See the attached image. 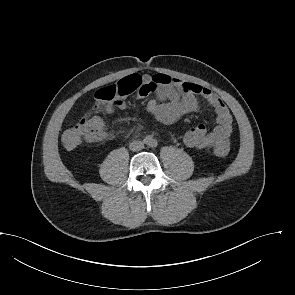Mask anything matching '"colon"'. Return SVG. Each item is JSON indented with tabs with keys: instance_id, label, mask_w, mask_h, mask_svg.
<instances>
[{
	"instance_id": "colon-1",
	"label": "colon",
	"mask_w": 295,
	"mask_h": 295,
	"mask_svg": "<svg viewBox=\"0 0 295 295\" xmlns=\"http://www.w3.org/2000/svg\"><path fill=\"white\" fill-rule=\"evenodd\" d=\"M143 86V79L137 74H132L119 80L117 83L99 89L95 93V106L92 111L82 117L74 124L65 129L62 133V143L67 149L78 147L83 140L96 139L98 137V116L97 113L106 109ZM230 151L229 142H224L214 149L217 156L224 157Z\"/></svg>"
}]
</instances>
